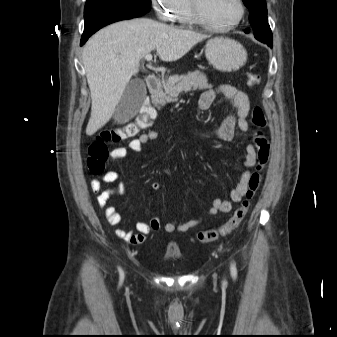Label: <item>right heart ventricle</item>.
<instances>
[{
	"label": "right heart ventricle",
	"mask_w": 337,
	"mask_h": 337,
	"mask_svg": "<svg viewBox=\"0 0 337 337\" xmlns=\"http://www.w3.org/2000/svg\"><path fill=\"white\" fill-rule=\"evenodd\" d=\"M175 21L181 25H193L196 23L191 14L189 0H181L180 7L175 14Z\"/></svg>",
	"instance_id": "obj_1"
}]
</instances>
